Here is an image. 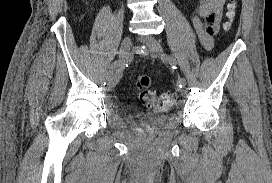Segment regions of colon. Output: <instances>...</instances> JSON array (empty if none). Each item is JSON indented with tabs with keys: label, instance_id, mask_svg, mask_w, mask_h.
I'll list each match as a JSON object with an SVG mask.
<instances>
[{
	"label": "colon",
	"instance_id": "5ec220e1",
	"mask_svg": "<svg viewBox=\"0 0 272 183\" xmlns=\"http://www.w3.org/2000/svg\"><path fill=\"white\" fill-rule=\"evenodd\" d=\"M237 4L235 1H231L227 4L226 17L227 22L225 27L229 28L236 15ZM152 80L148 75H140L136 80V87L140 91V98L142 103L151 109L157 111L168 110L175 101V96L172 93H163L157 96L153 91L150 90Z\"/></svg>",
	"mask_w": 272,
	"mask_h": 183
}]
</instances>
